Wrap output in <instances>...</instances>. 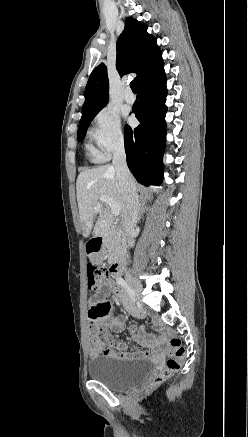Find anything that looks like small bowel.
<instances>
[{"label": "small bowel", "mask_w": 248, "mask_h": 437, "mask_svg": "<svg viewBox=\"0 0 248 437\" xmlns=\"http://www.w3.org/2000/svg\"><path fill=\"white\" fill-rule=\"evenodd\" d=\"M107 294H113L116 301L120 302L123 307L137 317H143L144 313L135 309L124 289L116 286L113 282H107L100 286V292L91 296L92 304L87 305L86 312L91 323L90 333V355L96 358L101 354L109 357L120 359H128L136 355L147 356L156 352V341L152 336L143 329H138L135 326L130 327V332L133 334L137 344L147 347L148 350L141 352L135 347L122 344L114 340L110 330L120 332L124 328V320L122 318L110 319L111 311L110 304L106 299Z\"/></svg>", "instance_id": "c3829d8e"}]
</instances>
